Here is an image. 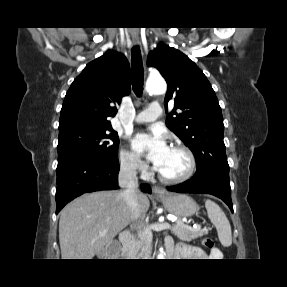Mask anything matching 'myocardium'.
I'll use <instances>...</instances> for the list:
<instances>
[{
  "mask_svg": "<svg viewBox=\"0 0 287 287\" xmlns=\"http://www.w3.org/2000/svg\"><path fill=\"white\" fill-rule=\"evenodd\" d=\"M171 148L176 149V150H180L182 152H184L188 158V169L187 171L177 177H169L166 176L164 174H162L158 169L157 173H158V177L161 181L165 182V183H170V184H178V183H183L187 180H189L195 173L196 169H197V158L194 154V152L186 145L184 144H173L171 146Z\"/></svg>",
  "mask_w": 287,
  "mask_h": 287,
  "instance_id": "myocardium-1",
  "label": "myocardium"
}]
</instances>
